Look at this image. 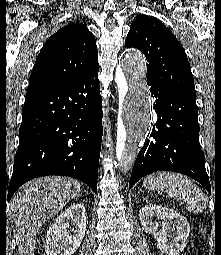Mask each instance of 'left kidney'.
Listing matches in <instances>:
<instances>
[{
    "mask_svg": "<svg viewBox=\"0 0 221 255\" xmlns=\"http://www.w3.org/2000/svg\"><path fill=\"white\" fill-rule=\"evenodd\" d=\"M162 220V229H158V222ZM139 219L146 233L153 234L158 249L168 255H180L187 244L190 226L187 219L173 209L156 204H149L141 208Z\"/></svg>",
    "mask_w": 221,
    "mask_h": 255,
    "instance_id": "obj_1",
    "label": "left kidney"
}]
</instances>
